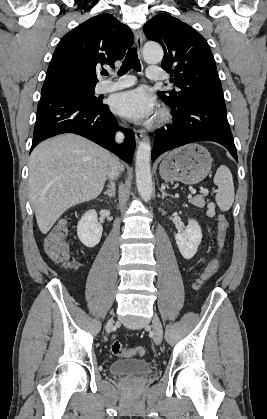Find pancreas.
Returning <instances> with one entry per match:
<instances>
[{
  "label": "pancreas",
  "instance_id": "pancreas-1",
  "mask_svg": "<svg viewBox=\"0 0 267 419\" xmlns=\"http://www.w3.org/2000/svg\"><path fill=\"white\" fill-rule=\"evenodd\" d=\"M189 202L199 208H203L205 206V199L203 195L194 196Z\"/></svg>",
  "mask_w": 267,
  "mask_h": 419
}]
</instances>
